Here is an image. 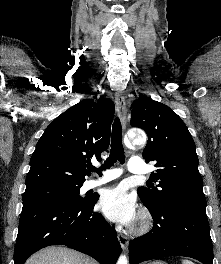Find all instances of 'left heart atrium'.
<instances>
[{"mask_svg":"<svg viewBox=\"0 0 221 264\" xmlns=\"http://www.w3.org/2000/svg\"><path fill=\"white\" fill-rule=\"evenodd\" d=\"M98 205L103 214L113 222L128 225L136 218V201L122 186L105 189Z\"/></svg>","mask_w":221,"mask_h":264,"instance_id":"1","label":"left heart atrium"}]
</instances>
